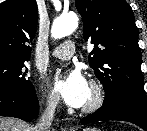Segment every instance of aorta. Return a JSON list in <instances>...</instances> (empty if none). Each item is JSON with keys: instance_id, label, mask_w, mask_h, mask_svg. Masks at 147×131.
I'll list each match as a JSON object with an SVG mask.
<instances>
[{"instance_id": "1", "label": "aorta", "mask_w": 147, "mask_h": 131, "mask_svg": "<svg viewBox=\"0 0 147 131\" xmlns=\"http://www.w3.org/2000/svg\"><path fill=\"white\" fill-rule=\"evenodd\" d=\"M78 26V17L74 13L61 15L54 20L51 35L55 39L70 35Z\"/></svg>"}]
</instances>
